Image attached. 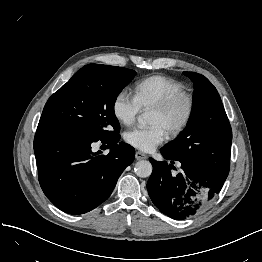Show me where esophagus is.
<instances>
[{
  "label": "esophagus",
  "mask_w": 262,
  "mask_h": 262,
  "mask_svg": "<svg viewBox=\"0 0 262 262\" xmlns=\"http://www.w3.org/2000/svg\"><path fill=\"white\" fill-rule=\"evenodd\" d=\"M135 158H136V160H144V159H147V155L140 152V151H137L135 153Z\"/></svg>",
  "instance_id": "esophagus-1"
}]
</instances>
